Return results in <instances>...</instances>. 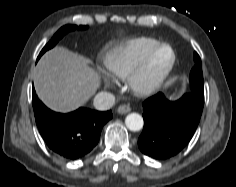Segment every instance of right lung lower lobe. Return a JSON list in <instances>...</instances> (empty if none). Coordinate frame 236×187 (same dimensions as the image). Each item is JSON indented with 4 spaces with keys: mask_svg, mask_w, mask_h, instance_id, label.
<instances>
[{
    "mask_svg": "<svg viewBox=\"0 0 236 187\" xmlns=\"http://www.w3.org/2000/svg\"><path fill=\"white\" fill-rule=\"evenodd\" d=\"M36 124L48 147L68 160L88 155L99 141L101 130L112 118V112L88 108L62 114L48 109L32 90Z\"/></svg>",
    "mask_w": 236,
    "mask_h": 187,
    "instance_id": "obj_1",
    "label": "right lung lower lobe"
}]
</instances>
